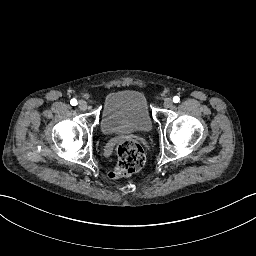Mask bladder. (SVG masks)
<instances>
[{"label":"bladder","instance_id":"bladder-1","mask_svg":"<svg viewBox=\"0 0 256 256\" xmlns=\"http://www.w3.org/2000/svg\"><path fill=\"white\" fill-rule=\"evenodd\" d=\"M100 125L108 134L150 130L151 118L144 94L136 90L110 93L102 106Z\"/></svg>","mask_w":256,"mask_h":256}]
</instances>
